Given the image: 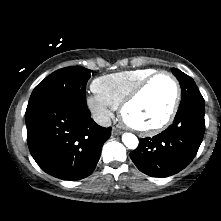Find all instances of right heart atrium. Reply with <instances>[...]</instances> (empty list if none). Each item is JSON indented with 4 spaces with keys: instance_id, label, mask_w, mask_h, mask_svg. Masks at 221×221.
<instances>
[{
    "instance_id": "d8ad5b80",
    "label": "right heart atrium",
    "mask_w": 221,
    "mask_h": 221,
    "mask_svg": "<svg viewBox=\"0 0 221 221\" xmlns=\"http://www.w3.org/2000/svg\"><path fill=\"white\" fill-rule=\"evenodd\" d=\"M89 109L101 122H108L112 117V107L97 95H89L86 99Z\"/></svg>"
}]
</instances>
